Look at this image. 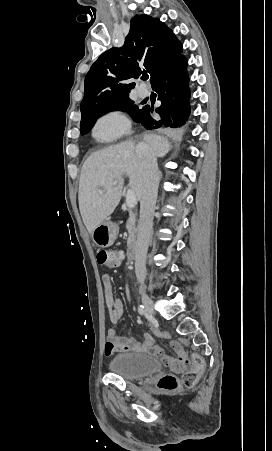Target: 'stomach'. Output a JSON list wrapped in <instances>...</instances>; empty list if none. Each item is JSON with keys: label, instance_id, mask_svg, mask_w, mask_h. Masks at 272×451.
<instances>
[{"label": "stomach", "instance_id": "1", "mask_svg": "<svg viewBox=\"0 0 272 451\" xmlns=\"http://www.w3.org/2000/svg\"><path fill=\"white\" fill-rule=\"evenodd\" d=\"M118 229L112 222H102L93 229L92 239L98 247H109L117 237Z\"/></svg>", "mask_w": 272, "mask_h": 451}]
</instances>
